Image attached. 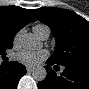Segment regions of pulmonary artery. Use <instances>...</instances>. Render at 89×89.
<instances>
[{"label": "pulmonary artery", "mask_w": 89, "mask_h": 89, "mask_svg": "<svg viewBox=\"0 0 89 89\" xmlns=\"http://www.w3.org/2000/svg\"><path fill=\"white\" fill-rule=\"evenodd\" d=\"M35 34L38 36L39 39L46 40L50 35V29L46 26L44 28L37 30Z\"/></svg>", "instance_id": "1"}]
</instances>
